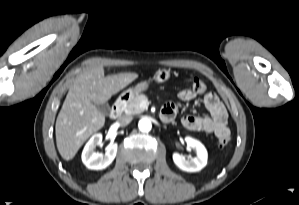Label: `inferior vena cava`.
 <instances>
[{"instance_id": "inferior-vena-cava-1", "label": "inferior vena cava", "mask_w": 299, "mask_h": 205, "mask_svg": "<svg viewBox=\"0 0 299 205\" xmlns=\"http://www.w3.org/2000/svg\"><path fill=\"white\" fill-rule=\"evenodd\" d=\"M132 121V117L128 115H122L118 118V123L122 126L128 125Z\"/></svg>"}]
</instances>
